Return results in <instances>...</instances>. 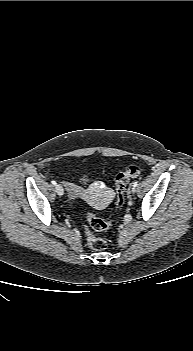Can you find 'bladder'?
<instances>
[{
    "label": "bladder",
    "instance_id": "obj_1",
    "mask_svg": "<svg viewBox=\"0 0 193 351\" xmlns=\"http://www.w3.org/2000/svg\"><path fill=\"white\" fill-rule=\"evenodd\" d=\"M83 186H85L87 184V181L86 180H83L82 183H81Z\"/></svg>",
    "mask_w": 193,
    "mask_h": 351
}]
</instances>
